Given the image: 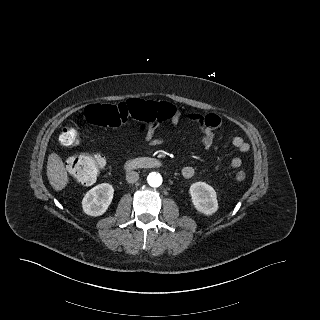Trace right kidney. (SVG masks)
I'll return each instance as SVG.
<instances>
[{"instance_id": "1", "label": "right kidney", "mask_w": 320, "mask_h": 320, "mask_svg": "<svg viewBox=\"0 0 320 320\" xmlns=\"http://www.w3.org/2000/svg\"><path fill=\"white\" fill-rule=\"evenodd\" d=\"M114 188L111 184L102 183L89 190L82 200V208L89 216H100L106 212L112 202Z\"/></svg>"}]
</instances>
